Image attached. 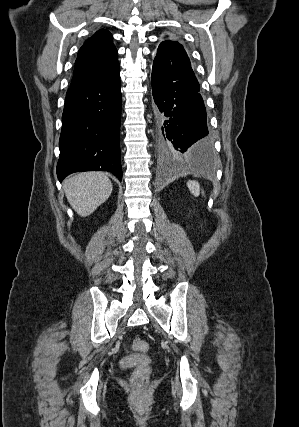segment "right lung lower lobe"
Listing matches in <instances>:
<instances>
[{"instance_id": "obj_1", "label": "right lung lower lobe", "mask_w": 299, "mask_h": 427, "mask_svg": "<svg viewBox=\"0 0 299 427\" xmlns=\"http://www.w3.org/2000/svg\"><path fill=\"white\" fill-rule=\"evenodd\" d=\"M121 89L117 70L106 79L70 87L66 94L57 176L102 170L122 179Z\"/></svg>"}]
</instances>
